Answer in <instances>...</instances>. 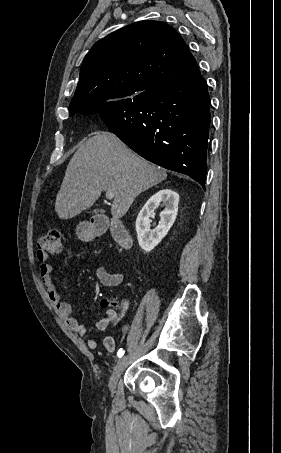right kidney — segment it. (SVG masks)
I'll return each instance as SVG.
<instances>
[{"label": "right kidney", "mask_w": 281, "mask_h": 453, "mask_svg": "<svg viewBox=\"0 0 281 453\" xmlns=\"http://www.w3.org/2000/svg\"><path fill=\"white\" fill-rule=\"evenodd\" d=\"M160 202L165 204V208L160 212V222L156 229H150L152 220L149 216L155 214L154 210ZM178 202V192L171 190V188H162V190H158L153 196H150L141 208L136 218V231L138 243L145 253L152 251L162 241L163 237H166L177 216Z\"/></svg>", "instance_id": "obj_1"}]
</instances>
